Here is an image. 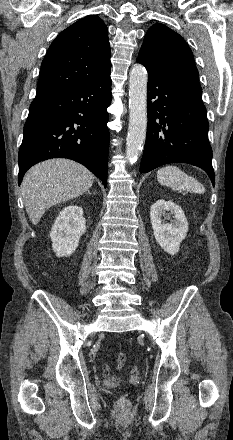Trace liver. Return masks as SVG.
Masks as SVG:
<instances>
[{"label": "liver", "instance_id": "1", "mask_svg": "<svg viewBox=\"0 0 233 440\" xmlns=\"http://www.w3.org/2000/svg\"><path fill=\"white\" fill-rule=\"evenodd\" d=\"M93 180L86 167L68 159H51L33 166L21 185L31 222L36 225L50 207L88 191Z\"/></svg>", "mask_w": 233, "mask_h": 440}]
</instances>
